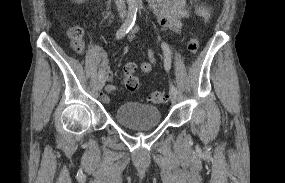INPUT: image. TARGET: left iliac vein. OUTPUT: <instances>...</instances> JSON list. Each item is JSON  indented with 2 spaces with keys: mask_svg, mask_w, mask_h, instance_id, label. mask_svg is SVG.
<instances>
[{
  "mask_svg": "<svg viewBox=\"0 0 285 183\" xmlns=\"http://www.w3.org/2000/svg\"><path fill=\"white\" fill-rule=\"evenodd\" d=\"M170 100L173 104L177 102V93L170 90Z\"/></svg>",
  "mask_w": 285,
  "mask_h": 183,
  "instance_id": "left-iliac-vein-1",
  "label": "left iliac vein"
}]
</instances>
